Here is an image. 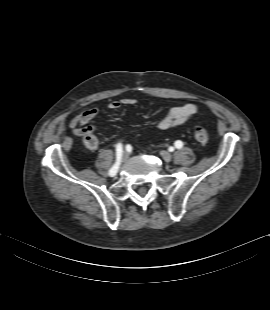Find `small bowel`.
Listing matches in <instances>:
<instances>
[{"mask_svg": "<svg viewBox=\"0 0 270 310\" xmlns=\"http://www.w3.org/2000/svg\"><path fill=\"white\" fill-rule=\"evenodd\" d=\"M135 104L136 100L128 97L110 102L107 107L111 110H119L123 106H131ZM199 110V106L194 103H187L181 106H171L166 115L158 123V128L161 130H167L183 125L198 114ZM99 112L100 109L98 107H91L74 115L69 121V127L73 134L81 137L85 146L90 150H95L99 145V140L95 135L96 125L90 124Z\"/></svg>", "mask_w": 270, "mask_h": 310, "instance_id": "obj_1", "label": "small bowel"}]
</instances>
